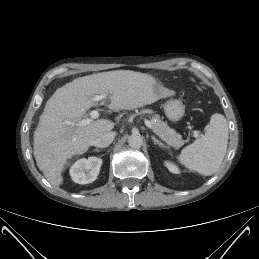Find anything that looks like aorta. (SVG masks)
I'll return each mask as SVG.
<instances>
[{
    "mask_svg": "<svg viewBox=\"0 0 259 259\" xmlns=\"http://www.w3.org/2000/svg\"><path fill=\"white\" fill-rule=\"evenodd\" d=\"M128 144L132 148H140L143 145V138L140 134H132L128 138Z\"/></svg>",
    "mask_w": 259,
    "mask_h": 259,
    "instance_id": "aorta-1",
    "label": "aorta"
}]
</instances>
